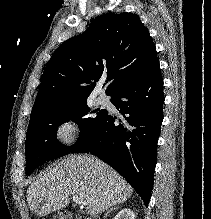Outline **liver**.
I'll use <instances>...</instances> for the list:
<instances>
[{"mask_svg": "<svg viewBox=\"0 0 211 219\" xmlns=\"http://www.w3.org/2000/svg\"><path fill=\"white\" fill-rule=\"evenodd\" d=\"M132 193L128 182L101 160L70 155L32 182L27 201L30 211L43 217L65 208L71 195H77L87 213L95 215L123 203Z\"/></svg>", "mask_w": 211, "mask_h": 219, "instance_id": "obj_1", "label": "liver"}]
</instances>
